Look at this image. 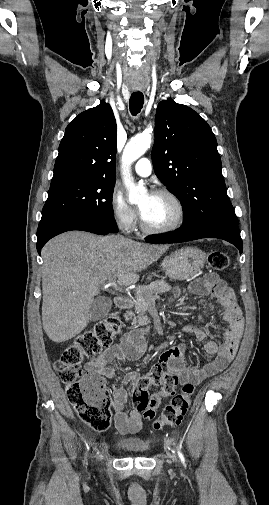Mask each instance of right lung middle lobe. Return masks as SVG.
<instances>
[{"label":"right lung middle lobe","mask_w":269,"mask_h":505,"mask_svg":"<svg viewBox=\"0 0 269 505\" xmlns=\"http://www.w3.org/2000/svg\"><path fill=\"white\" fill-rule=\"evenodd\" d=\"M115 181H82L50 188L41 220L67 215L81 218L115 233L118 231L112 212Z\"/></svg>","instance_id":"1"}]
</instances>
